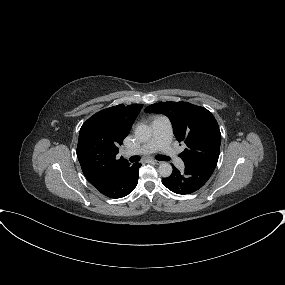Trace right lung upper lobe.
I'll return each mask as SVG.
<instances>
[{
	"label": "right lung upper lobe",
	"instance_id": "right-lung-upper-lobe-1",
	"mask_svg": "<svg viewBox=\"0 0 285 285\" xmlns=\"http://www.w3.org/2000/svg\"><path fill=\"white\" fill-rule=\"evenodd\" d=\"M142 106H113L97 112L82 125L77 157L85 177L93 186L110 181L131 166L122 157L116 159V155Z\"/></svg>",
	"mask_w": 285,
	"mask_h": 285
}]
</instances>
